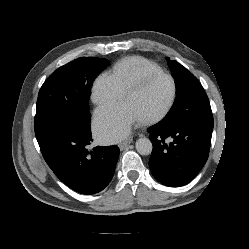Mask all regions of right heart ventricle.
<instances>
[{
    "label": "right heart ventricle",
    "mask_w": 249,
    "mask_h": 249,
    "mask_svg": "<svg viewBox=\"0 0 249 249\" xmlns=\"http://www.w3.org/2000/svg\"><path fill=\"white\" fill-rule=\"evenodd\" d=\"M162 70L152 61L140 57L130 56L120 60L111 72L120 88L125 90L142 76Z\"/></svg>",
    "instance_id": "e07e8e85"
}]
</instances>
